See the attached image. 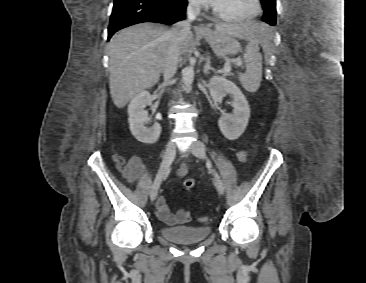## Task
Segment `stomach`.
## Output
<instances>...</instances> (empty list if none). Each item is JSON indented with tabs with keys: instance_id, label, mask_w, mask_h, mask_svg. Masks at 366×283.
I'll list each match as a JSON object with an SVG mask.
<instances>
[{
	"instance_id": "stomach-1",
	"label": "stomach",
	"mask_w": 366,
	"mask_h": 283,
	"mask_svg": "<svg viewBox=\"0 0 366 283\" xmlns=\"http://www.w3.org/2000/svg\"><path fill=\"white\" fill-rule=\"evenodd\" d=\"M211 46L215 55L219 58H226L228 55H235L241 51L238 41L229 34L219 30H210L199 32Z\"/></svg>"
}]
</instances>
